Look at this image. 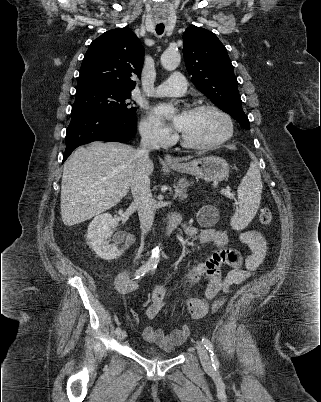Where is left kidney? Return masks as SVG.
Masks as SVG:
<instances>
[{"mask_svg":"<svg viewBox=\"0 0 321 402\" xmlns=\"http://www.w3.org/2000/svg\"><path fill=\"white\" fill-rule=\"evenodd\" d=\"M219 212L213 206L202 207L197 213V221L206 226H212L218 221Z\"/></svg>","mask_w":321,"mask_h":402,"instance_id":"1","label":"left kidney"}]
</instances>
